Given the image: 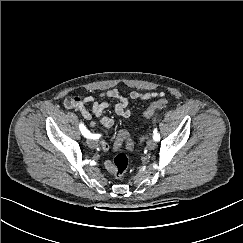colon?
<instances>
[{"label":"colon","mask_w":243,"mask_h":243,"mask_svg":"<svg viewBox=\"0 0 243 243\" xmlns=\"http://www.w3.org/2000/svg\"><path fill=\"white\" fill-rule=\"evenodd\" d=\"M79 101H80V99L78 97L68 98L66 100V105L68 107H73ZM167 103H168V100L164 99V98L155 101L144 111V116L146 118L151 117L155 113V111L166 106ZM122 145H125L128 149L134 148V143L131 140L128 132H126V131L119 132V134L116 137L115 143H114V148L119 149ZM128 166H129V158L127 157V155H125L124 153H120V154L116 155V157L113 160L115 177L122 178L125 175V173L127 172Z\"/></svg>","instance_id":"5ec220e1"}]
</instances>
